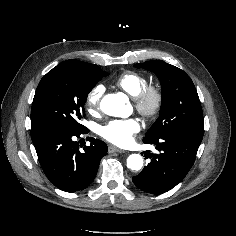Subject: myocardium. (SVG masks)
Wrapping results in <instances>:
<instances>
[{"label": "myocardium", "instance_id": "f54148a6", "mask_svg": "<svg viewBox=\"0 0 236 236\" xmlns=\"http://www.w3.org/2000/svg\"><path fill=\"white\" fill-rule=\"evenodd\" d=\"M136 110L145 118H155L163 104V93L157 85H147L134 97Z\"/></svg>", "mask_w": 236, "mask_h": 236}]
</instances>
